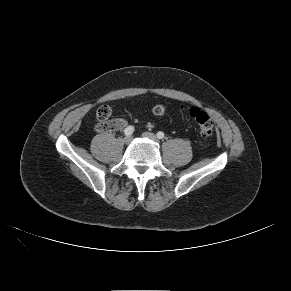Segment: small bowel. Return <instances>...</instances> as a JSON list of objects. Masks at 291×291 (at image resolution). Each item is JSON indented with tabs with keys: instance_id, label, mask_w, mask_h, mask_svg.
Listing matches in <instances>:
<instances>
[{
	"instance_id": "small-bowel-1",
	"label": "small bowel",
	"mask_w": 291,
	"mask_h": 291,
	"mask_svg": "<svg viewBox=\"0 0 291 291\" xmlns=\"http://www.w3.org/2000/svg\"><path fill=\"white\" fill-rule=\"evenodd\" d=\"M110 123L112 126L111 131H119L127 126L128 121L124 118H115V119L110 120Z\"/></svg>"
}]
</instances>
